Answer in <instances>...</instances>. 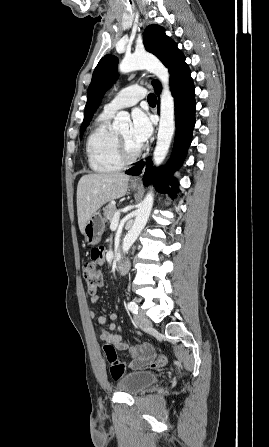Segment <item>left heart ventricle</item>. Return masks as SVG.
Masks as SVG:
<instances>
[{
	"label": "left heart ventricle",
	"mask_w": 269,
	"mask_h": 447,
	"mask_svg": "<svg viewBox=\"0 0 269 447\" xmlns=\"http://www.w3.org/2000/svg\"><path fill=\"white\" fill-rule=\"evenodd\" d=\"M120 138L127 144L129 149L133 152L137 151L141 146L135 143L131 138V130L125 129L118 133Z\"/></svg>",
	"instance_id": "obj_1"
}]
</instances>
